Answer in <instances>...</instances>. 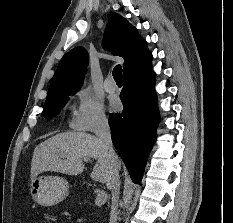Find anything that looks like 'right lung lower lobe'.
<instances>
[{
    "instance_id": "98d812e1",
    "label": "right lung lower lobe",
    "mask_w": 233,
    "mask_h": 223,
    "mask_svg": "<svg viewBox=\"0 0 233 223\" xmlns=\"http://www.w3.org/2000/svg\"><path fill=\"white\" fill-rule=\"evenodd\" d=\"M154 86L151 64L125 76L120 94L123 112L109 118L112 142L135 183L142 179L156 137L158 109Z\"/></svg>"
}]
</instances>
